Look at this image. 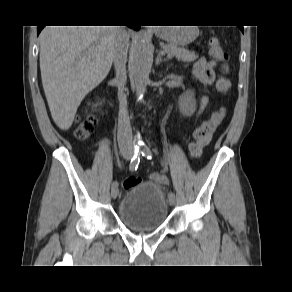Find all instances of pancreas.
I'll return each instance as SVG.
<instances>
[{"label":"pancreas","mask_w":292,"mask_h":292,"mask_svg":"<svg viewBox=\"0 0 292 292\" xmlns=\"http://www.w3.org/2000/svg\"><path fill=\"white\" fill-rule=\"evenodd\" d=\"M162 48L168 53L169 57L175 56L178 60L184 62H192L198 58L194 51H189L176 45L162 44Z\"/></svg>","instance_id":"cf45deb5"}]
</instances>
